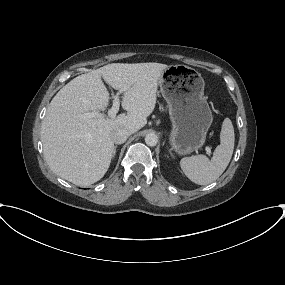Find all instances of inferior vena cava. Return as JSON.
I'll list each match as a JSON object with an SVG mask.
<instances>
[{
  "instance_id": "inferior-vena-cava-1",
  "label": "inferior vena cava",
  "mask_w": 285,
  "mask_h": 285,
  "mask_svg": "<svg viewBox=\"0 0 285 285\" xmlns=\"http://www.w3.org/2000/svg\"><path fill=\"white\" fill-rule=\"evenodd\" d=\"M130 135V131L124 128H116L110 134L112 141L116 144L124 143Z\"/></svg>"
}]
</instances>
